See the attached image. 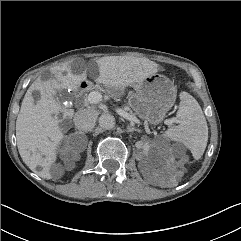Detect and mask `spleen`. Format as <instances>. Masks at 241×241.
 <instances>
[{
	"instance_id": "3e777b00",
	"label": "spleen",
	"mask_w": 241,
	"mask_h": 241,
	"mask_svg": "<svg viewBox=\"0 0 241 241\" xmlns=\"http://www.w3.org/2000/svg\"><path fill=\"white\" fill-rule=\"evenodd\" d=\"M180 104L176 119L178 126L168 129L163 137L182 142L195 159H199L207 146L208 126L198 102L187 92L180 93Z\"/></svg>"
}]
</instances>
